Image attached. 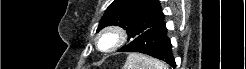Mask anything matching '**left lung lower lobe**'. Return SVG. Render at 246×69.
Listing matches in <instances>:
<instances>
[{
  "label": "left lung lower lobe",
  "mask_w": 246,
  "mask_h": 69,
  "mask_svg": "<svg viewBox=\"0 0 246 69\" xmlns=\"http://www.w3.org/2000/svg\"><path fill=\"white\" fill-rule=\"evenodd\" d=\"M172 45L167 37V28L165 23L150 28L128 45L122 47L118 52H140L167 62L175 67V61L172 54Z\"/></svg>",
  "instance_id": "obj_1"
}]
</instances>
